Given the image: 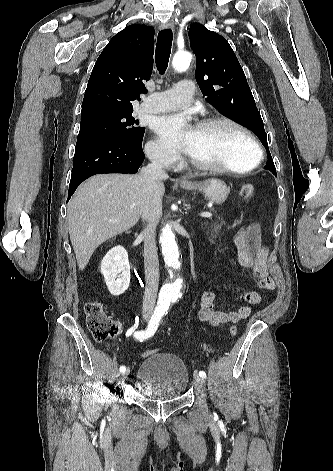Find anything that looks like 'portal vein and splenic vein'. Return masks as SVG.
I'll return each instance as SVG.
<instances>
[{
  "label": "portal vein and splenic vein",
  "mask_w": 333,
  "mask_h": 471,
  "mask_svg": "<svg viewBox=\"0 0 333 471\" xmlns=\"http://www.w3.org/2000/svg\"><path fill=\"white\" fill-rule=\"evenodd\" d=\"M200 216L203 217V218H211V217H212V213H210V212H202V213L200 214ZM112 222H116V220H114V221H112Z\"/></svg>",
  "instance_id": "obj_1"
}]
</instances>
